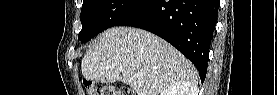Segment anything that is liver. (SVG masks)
<instances>
[{
    "instance_id": "1",
    "label": "liver",
    "mask_w": 277,
    "mask_h": 95,
    "mask_svg": "<svg viewBox=\"0 0 277 95\" xmlns=\"http://www.w3.org/2000/svg\"><path fill=\"white\" fill-rule=\"evenodd\" d=\"M81 69L87 80L121 81L136 95H159L177 82L190 84L192 93L198 91L194 65L165 40L137 28L104 31L84 55Z\"/></svg>"
}]
</instances>
